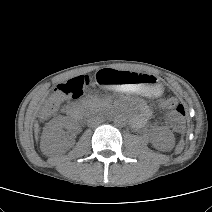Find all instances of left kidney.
<instances>
[{"label":"left kidney","instance_id":"1","mask_svg":"<svg viewBox=\"0 0 212 212\" xmlns=\"http://www.w3.org/2000/svg\"><path fill=\"white\" fill-rule=\"evenodd\" d=\"M153 144L162 151L171 150L174 145V136L171 132L163 130L154 137Z\"/></svg>","mask_w":212,"mask_h":212}]
</instances>
